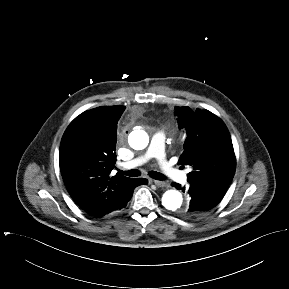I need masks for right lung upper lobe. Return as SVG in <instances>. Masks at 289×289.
<instances>
[{"label":"right lung upper lobe","instance_id":"right-lung-upper-lobe-1","mask_svg":"<svg viewBox=\"0 0 289 289\" xmlns=\"http://www.w3.org/2000/svg\"><path fill=\"white\" fill-rule=\"evenodd\" d=\"M125 106L83 112L67 127L59 163L73 200L87 213L102 217L123 208L134 178L111 176L116 161V131Z\"/></svg>","mask_w":289,"mask_h":289}]
</instances>
